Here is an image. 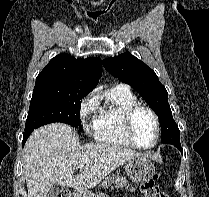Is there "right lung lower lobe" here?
Returning <instances> with one entry per match:
<instances>
[{"mask_svg":"<svg viewBox=\"0 0 209 197\" xmlns=\"http://www.w3.org/2000/svg\"><path fill=\"white\" fill-rule=\"evenodd\" d=\"M33 130H29V131H26L24 134H23V146L27 140V138L29 137V135L32 133Z\"/></svg>","mask_w":209,"mask_h":197,"instance_id":"1","label":"right lung lower lobe"}]
</instances>
